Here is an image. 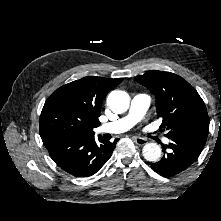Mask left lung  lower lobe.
<instances>
[{
	"label": "left lung lower lobe",
	"mask_w": 221,
	"mask_h": 221,
	"mask_svg": "<svg viewBox=\"0 0 221 221\" xmlns=\"http://www.w3.org/2000/svg\"><path fill=\"white\" fill-rule=\"evenodd\" d=\"M208 133L197 132L170 139L166 147L170 152L159 162L151 164V168L165 177H172L186 171L199 157L205 145Z\"/></svg>",
	"instance_id": "obj_1"
}]
</instances>
